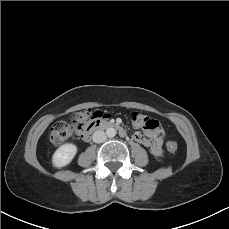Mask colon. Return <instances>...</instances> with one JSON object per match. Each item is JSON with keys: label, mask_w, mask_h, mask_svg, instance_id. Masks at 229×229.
<instances>
[{"label": "colon", "mask_w": 229, "mask_h": 229, "mask_svg": "<svg viewBox=\"0 0 229 229\" xmlns=\"http://www.w3.org/2000/svg\"><path fill=\"white\" fill-rule=\"evenodd\" d=\"M109 115L105 112H95L90 109L76 112L71 117V122H57L52 125L50 130V142L59 145L66 140L82 134L88 129L90 120L95 118H107ZM131 120L135 127L144 128L151 131H159L161 126L158 121L151 119L141 113L133 112ZM166 149L169 153L175 154L178 150V144L175 141H168Z\"/></svg>", "instance_id": "5ec220e1"}]
</instances>
